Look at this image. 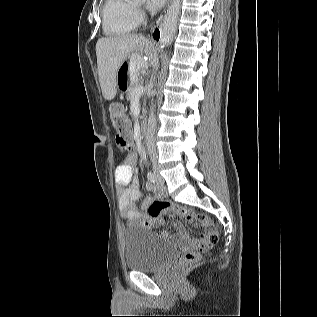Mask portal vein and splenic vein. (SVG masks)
Segmentation results:
<instances>
[{
    "instance_id": "portal-vein-and-splenic-vein-1",
    "label": "portal vein and splenic vein",
    "mask_w": 317,
    "mask_h": 317,
    "mask_svg": "<svg viewBox=\"0 0 317 317\" xmlns=\"http://www.w3.org/2000/svg\"><path fill=\"white\" fill-rule=\"evenodd\" d=\"M144 91H145V88L143 86H139L133 90L132 95L133 96H141L144 93Z\"/></svg>"
}]
</instances>
